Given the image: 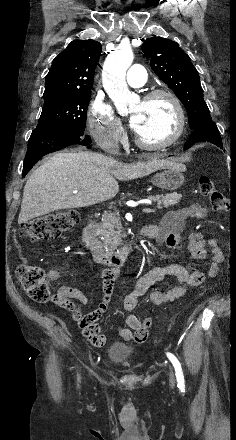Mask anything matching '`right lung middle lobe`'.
Wrapping results in <instances>:
<instances>
[{"label": "right lung middle lobe", "mask_w": 236, "mask_h": 440, "mask_svg": "<svg viewBox=\"0 0 236 440\" xmlns=\"http://www.w3.org/2000/svg\"><path fill=\"white\" fill-rule=\"evenodd\" d=\"M91 93L44 103L35 130H78L84 132Z\"/></svg>", "instance_id": "1"}]
</instances>
